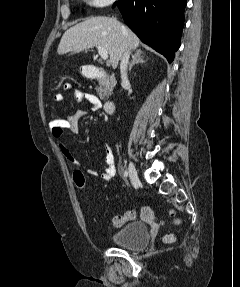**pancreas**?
I'll use <instances>...</instances> for the list:
<instances>
[{
    "label": "pancreas",
    "mask_w": 240,
    "mask_h": 287,
    "mask_svg": "<svg viewBox=\"0 0 240 287\" xmlns=\"http://www.w3.org/2000/svg\"><path fill=\"white\" fill-rule=\"evenodd\" d=\"M98 82L99 84L98 87H96V91L99 94V97L101 99L109 97L116 85L114 76L100 78Z\"/></svg>",
    "instance_id": "1"
}]
</instances>
